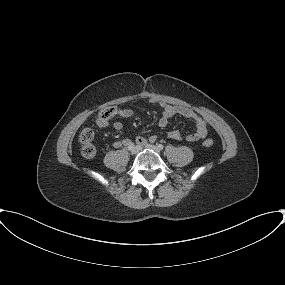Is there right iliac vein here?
Returning <instances> with one entry per match:
<instances>
[{"label": "right iliac vein", "instance_id": "obj_1", "mask_svg": "<svg viewBox=\"0 0 285 285\" xmlns=\"http://www.w3.org/2000/svg\"><path fill=\"white\" fill-rule=\"evenodd\" d=\"M140 151V147L136 146L131 150V154L136 155Z\"/></svg>", "mask_w": 285, "mask_h": 285}]
</instances>
